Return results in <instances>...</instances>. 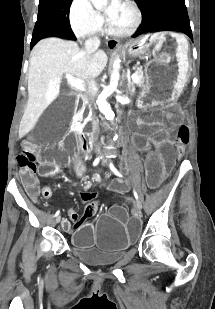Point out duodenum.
Wrapping results in <instances>:
<instances>
[{"mask_svg": "<svg viewBox=\"0 0 215 309\" xmlns=\"http://www.w3.org/2000/svg\"><path fill=\"white\" fill-rule=\"evenodd\" d=\"M82 127L81 121L79 119L75 120L73 123V128L78 131ZM85 147L87 149H91L92 147L97 145V141L93 140L89 135L84 138Z\"/></svg>", "mask_w": 215, "mask_h": 309, "instance_id": "410a0bca", "label": "duodenum"}]
</instances>
